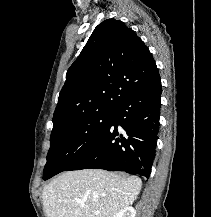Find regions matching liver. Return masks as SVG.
Instances as JSON below:
<instances>
[{"label": "liver", "mask_w": 211, "mask_h": 217, "mask_svg": "<svg viewBox=\"0 0 211 217\" xmlns=\"http://www.w3.org/2000/svg\"><path fill=\"white\" fill-rule=\"evenodd\" d=\"M142 181L101 169L67 171L42 191L47 217H113L133 204Z\"/></svg>", "instance_id": "liver-1"}]
</instances>
